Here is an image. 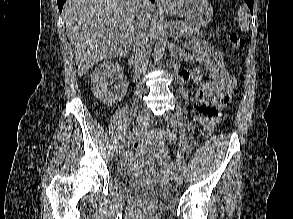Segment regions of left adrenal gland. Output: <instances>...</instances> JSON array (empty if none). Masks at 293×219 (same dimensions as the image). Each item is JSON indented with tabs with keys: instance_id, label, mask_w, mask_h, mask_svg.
I'll return each instance as SVG.
<instances>
[{
	"instance_id": "left-adrenal-gland-1",
	"label": "left adrenal gland",
	"mask_w": 293,
	"mask_h": 219,
	"mask_svg": "<svg viewBox=\"0 0 293 219\" xmlns=\"http://www.w3.org/2000/svg\"><path fill=\"white\" fill-rule=\"evenodd\" d=\"M173 37H174L175 40H177L179 38L178 33L175 32L174 30H173Z\"/></svg>"
}]
</instances>
